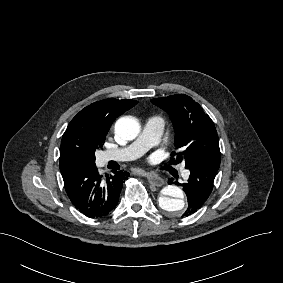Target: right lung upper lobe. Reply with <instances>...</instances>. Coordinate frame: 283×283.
I'll use <instances>...</instances> for the list:
<instances>
[{"instance_id": "obj_1", "label": "right lung upper lobe", "mask_w": 283, "mask_h": 283, "mask_svg": "<svg viewBox=\"0 0 283 283\" xmlns=\"http://www.w3.org/2000/svg\"><path fill=\"white\" fill-rule=\"evenodd\" d=\"M138 103L136 100H118L108 98L82 109L69 123L68 129H95L108 132L115 118Z\"/></svg>"}]
</instances>
